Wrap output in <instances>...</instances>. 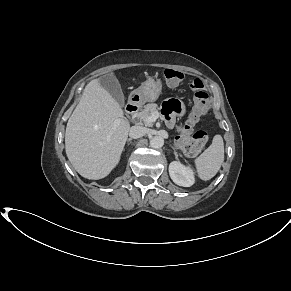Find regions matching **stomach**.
<instances>
[{"label": "stomach", "instance_id": "1", "mask_svg": "<svg viewBox=\"0 0 291 291\" xmlns=\"http://www.w3.org/2000/svg\"><path fill=\"white\" fill-rule=\"evenodd\" d=\"M161 91V80L150 77L139 88L132 91L129 98L135 104L153 102L158 99Z\"/></svg>", "mask_w": 291, "mask_h": 291}]
</instances>
